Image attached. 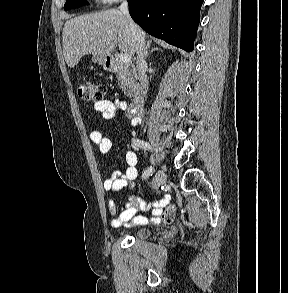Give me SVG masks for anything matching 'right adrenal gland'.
<instances>
[{"instance_id":"right-adrenal-gland-1","label":"right adrenal gland","mask_w":288,"mask_h":293,"mask_svg":"<svg viewBox=\"0 0 288 293\" xmlns=\"http://www.w3.org/2000/svg\"><path fill=\"white\" fill-rule=\"evenodd\" d=\"M150 47H151V41H148L145 45V48H144V54H145V57L147 58V56L152 53L153 51H157L159 50V48L157 47H154L150 50Z\"/></svg>"}]
</instances>
